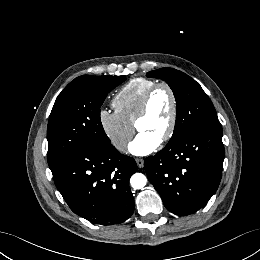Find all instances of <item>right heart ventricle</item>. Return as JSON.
<instances>
[{
  "instance_id": "right-heart-ventricle-1",
  "label": "right heart ventricle",
  "mask_w": 260,
  "mask_h": 260,
  "mask_svg": "<svg viewBox=\"0 0 260 260\" xmlns=\"http://www.w3.org/2000/svg\"><path fill=\"white\" fill-rule=\"evenodd\" d=\"M156 83L155 80L147 78H135L129 81L112 100L115 111L133 124L144 95Z\"/></svg>"
}]
</instances>
